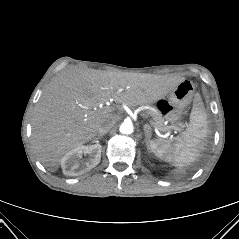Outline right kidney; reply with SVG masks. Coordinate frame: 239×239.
<instances>
[{
  "mask_svg": "<svg viewBox=\"0 0 239 239\" xmlns=\"http://www.w3.org/2000/svg\"><path fill=\"white\" fill-rule=\"evenodd\" d=\"M101 149L102 146L98 143L88 146L81 145L72 149L61 160L63 173L68 176H78L96 167L101 160ZM83 154L88 155L84 162L80 161Z\"/></svg>",
  "mask_w": 239,
  "mask_h": 239,
  "instance_id": "1",
  "label": "right kidney"
}]
</instances>
